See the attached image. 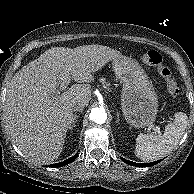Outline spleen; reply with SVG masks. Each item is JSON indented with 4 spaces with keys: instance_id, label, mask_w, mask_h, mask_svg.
I'll return each mask as SVG.
<instances>
[{
    "instance_id": "1",
    "label": "spleen",
    "mask_w": 194,
    "mask_h": 194,
    "mask_svg": "<svg viewBox=\"0 0 194 194\" xmlns=\"http://www.w3.org/2000/svg\"><path fill=\"white\" fill-rule=\"evenodd\" d=\"M188 117L185 113L175 114L174 122L165 127L164 134L157 136L139 134L136 139L135 155L144 162H153L164 158L177 148L187 127Z\"/></svg>"
}]
</instances>
